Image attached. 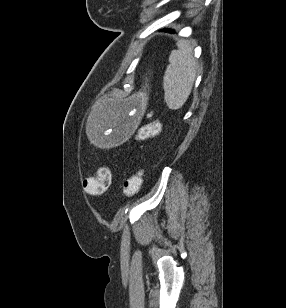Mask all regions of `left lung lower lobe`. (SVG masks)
<instances>
[{
    "instance_id": "obj_1",
    "label": "left lung lower lobe",
    "mask_w": 286,
    "mask_h": 308,
    "mask_svg": "<svg viewBox=\"0 0 286 308\" xmlns=\"http://www.w3.org/2000/svg\"><path fill=\"white\" fill-rule=\"evenodd\" d=\"M165 31H170V32H174V31H172V30H165Z\"/></svg>"
}]
</instances>
